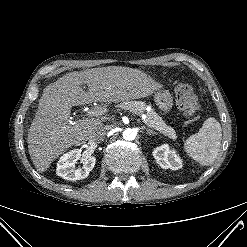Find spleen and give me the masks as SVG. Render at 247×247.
<instances>
[{
    "label": "spleen",
    "mask_w": 247,
    "mask_h": 247,
    "mask_svg": "<svg viewBox=\"0 0 247 247\" xmlns=\"http://www.w3.org/2000/svg\"><path fill=\"white\" fill-rule=\"evenodd\" d=\"M221 139V125L215 118L210 117L205 120L198 133L185 141L184 149L192 159L202 166H208L218 155Z\"/></svg>",
    "instance_id": "spleen-1"
}]
</instances>
